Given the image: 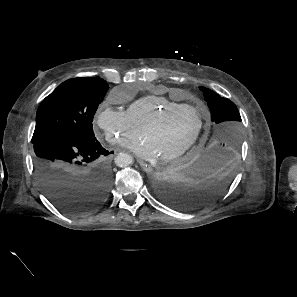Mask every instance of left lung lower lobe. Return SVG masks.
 I'll return each instance as SVG.
<instances>
[{
    "label": "left lung lower lobe",
    "instance_id": "0a47b994",
    "mask_svg": "<svg viewBox=\"0 0 297 297\" xmlns=\"http://www.w3.org/2000/svg\"><path fill=\"white\" fill-rule=\"evenodd\" d=\"M236 154L216 145L197 148L173 167L157 173L154 188L167 205L194 210L216 201L230 186Z\"/></svg>",
    "mask_w": 297,
    "mask_h": 297
}]
</instances>
